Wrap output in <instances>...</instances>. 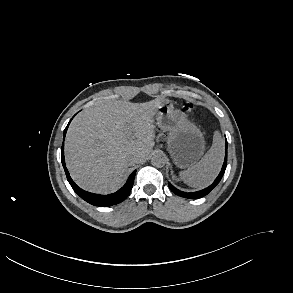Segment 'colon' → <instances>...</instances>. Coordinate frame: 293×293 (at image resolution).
I'll return each instance as SVG.
<instances>
[{"mask_svg":"<svg viewBox=\"0 0 293 293\" xmlns=\"http://www.w3.org/2000/svg\"><path fill=\"white\" fill-rule=\"evenodd\" d=\"M185 109H186V110H190V109H191V107H190V106H187V107H185Z\"/></svg>","mask_w":293,"mask_h":293,"instance_id":"obj_1","label":"colon"}]
</instances>
